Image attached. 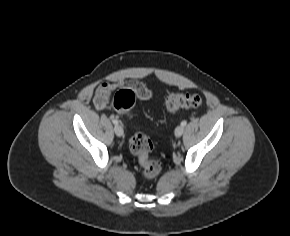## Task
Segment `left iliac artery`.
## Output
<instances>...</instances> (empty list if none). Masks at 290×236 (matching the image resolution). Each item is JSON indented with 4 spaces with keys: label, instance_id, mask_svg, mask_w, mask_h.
I'll return each mask as SVG.
<instances>
[{
    "label": "left iliac artery",
    "instance_id": "44dca946",
    "mask_svg": "<svg viewBox=\"0 0 290 236\" xmlns=\"http://www.w3.org/2000/svg\"><path fill=\"white\" fill-rule=\"evenodd\" d=\"M186 124H187V121H185V120L181 122L182 126H186Z\"/></svg>",
    "mask_w": 290,
    "mask_h": 236
}]
</instances>
